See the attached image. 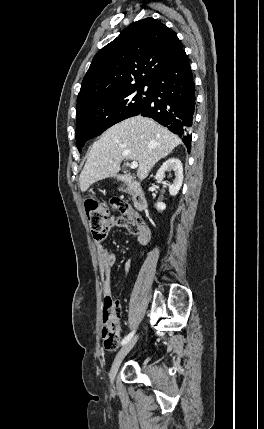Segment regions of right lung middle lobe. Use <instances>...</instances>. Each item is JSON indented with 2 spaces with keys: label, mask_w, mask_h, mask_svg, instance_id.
<instances>
[{
  "label": "right lung middle lobe",
  "mask_w": 264,
  "mask_h": 429,
  "mask_svg": "<svg viewBox=\"0 0 264 429\" xmlns=\"http://www.w3.org/2000/svg\"><path fill=\"white\" fill-rule=\"evenodd\" d=\"M151 95V84H137L78 106L76 145L79 152L89 139L126 118L138 115Z\"/></svg>",
  "instance_id": "dd1d6c3e"
}]
</instances>
